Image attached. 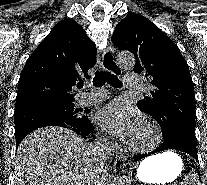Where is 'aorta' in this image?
Listing matches in <instances>:
<instances>
[{"label": "aorta", "mask_w": 207, "mask_h": 185, "mask_svg": "<svg viewBox=\"0 0 207 185\" xmlns=\"http://www.w3.org/2000/svg\"><path fill=\"white\" fill-rule=\"evenodd\" d=\"M117 62L123 69H131L135 65V58L131 53H120L117 56ZM113 185H128V177L126 176V167L120 165L118 172L114 177Z\"/></svg>", "instance_id": "aorta-1"}]
</instances>
